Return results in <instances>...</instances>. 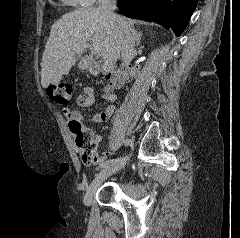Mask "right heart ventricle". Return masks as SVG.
<instances>
[{
	"label": "right heart ventricle",
	"instance_id": "right-heart-ventricle-1",
	"mask_svg": "<svg viewBox=\"0 0 240 238\" xmlns=\"http://www.w3.org/2000/svg\"><path fill=\"white\" fill-rule=\"evenodd\" d=\"M64 3L71 5V6H85L86 3L84 0H61Z\"/></svg>",
	"mask_w": 240,
	"mask_h": 238
}]
</instances>
